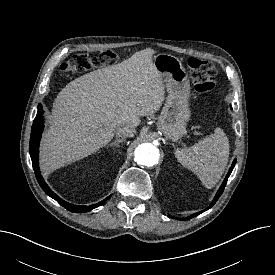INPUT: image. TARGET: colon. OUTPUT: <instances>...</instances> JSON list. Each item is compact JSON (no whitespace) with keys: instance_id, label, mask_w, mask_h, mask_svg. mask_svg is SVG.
<instances>
[{"instance_id":"1","label":"colon","mask_w":275,"mask_h":275,"mask_svg":"<svg viewBox=\"0 0 275 275\" xmlns=\"http://www.w3.org/2000/svg\"><path fill=\"white\" fill-rule=\"evenodd\" d=\"M117 55L110 50L92 51L73 55L61 65L65 73H79L114 63ZM188 67L194 89L198 93H207L217 84L215 66L206 60L190 58Z\"/></svg>"}]
</instances>
